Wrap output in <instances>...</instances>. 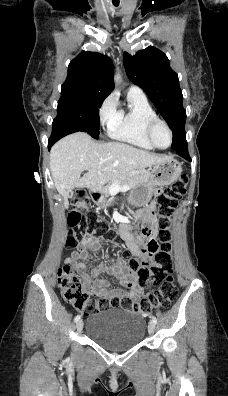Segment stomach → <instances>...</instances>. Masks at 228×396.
Segmentation results:
<instances>
[{
    "label": "stomach",
    "mask_w": 228,
    "mask_h": 396,
    "mask_svg": "<svg viewBox=\"0 0 228 396\" xmlns=\"http://www.w3.org/2000/svg\"><path fill=\"white\" fill-rule=\"evenodd\" d=\"M145 172L148 177L147 181L132 188L128 195L129 203L137 207L146 206L149 203L155 187L175 182L180 176L182 168L178 161L170 158ZM94 200L103 207L110 206L114 201V199L108 198L104 192L95 193Z\"/></svg>",
    "instance_id": "stomach-1"
}]
</instances>
